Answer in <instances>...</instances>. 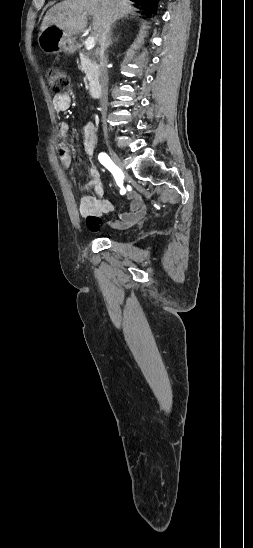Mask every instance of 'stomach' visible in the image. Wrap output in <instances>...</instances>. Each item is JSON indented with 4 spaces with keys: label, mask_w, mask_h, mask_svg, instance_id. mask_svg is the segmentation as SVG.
<instances>
[{
    "label": "stomach",
    "mask_w": 253,
    "mask_h": 548,
    "mask_svg": "<svg viewBox=\"0 0 253 548\" xmlns=\"http://www.w3.org/2000/svg\"><path fill=\"white\" fill-rule=\"evenodd\" d=\"M38 45L47 54H59L61 52L72 54L76 50L73 37H67L63 30L51 25L38 35Z\"/></svg>",
    "instance_id": "stomach-1"
}]
</instances>
